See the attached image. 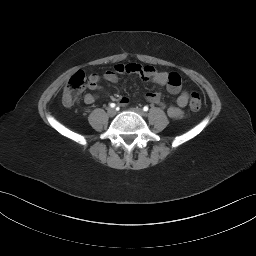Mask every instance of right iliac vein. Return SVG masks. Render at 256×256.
<instances>
[{
  "mask_svg": "<svg viewBox=\"0 0 256 256\" xmlns=\"http://www.w3.org/2000/svg\"><path fill=\"white\" fill-rule=\"evenodd\" d=\"M107 114H108L110 117H114L115 114H116V110L113 109V108H108V109H107Z\"/></svg>",
  "mask_w": 256,
  "mask_h": 256,
  "instance_id": "right-iliac-vein-1",
  "label": "right iliac vein"
}]
</instances>
